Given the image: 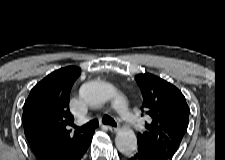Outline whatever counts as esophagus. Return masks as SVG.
<instances>
[{
  "label": "esophagus",
  "mask_w": 225,
  "mask_h": 160,
  "mask_svg": "<svg viewBox=\"0 0 225 160\" xmlns=\"http://www.w3.org/2000/svg\"><path fill=\"white\" fill-rule=\"evenodd\" d=\"M119 127H120V125L118 122L116 123V126H110V125L106 126V128H108L110 131H114V132H116L119 129Z\"/></svg>",
  "instance_id": "obj_1"
}]
</instances>
